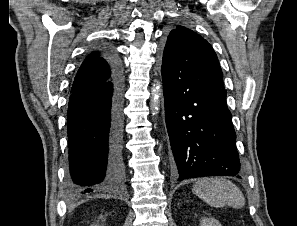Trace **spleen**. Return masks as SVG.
<instances>
[{
	"label": "spleen",
	"mask_w": 297,
	"mask_h": 226,
	"mask_svg": "<svg viewBox=\"0 0 297 226\" xmlns=\"http://www.w3.org/2000/svg\"><path fill=\"white\" fill-rule=\"evenodd\" d=\"M192 191L213 207L229 205L233 208H242L245 205L242 191L224 178L200 179L193 185Z\"/></svg>",
	"instance_id": "spleen-1"
}]
</instances>
